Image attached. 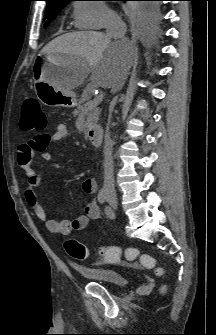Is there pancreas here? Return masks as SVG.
<instances>
[{"label":"pancreas","instance_id":"1","mask_svg":"<svg viewBox=\"0 0 216 335\" xmlns=\"http://www.w3.org/2000/svg\"><path fill=\"white\" fill-rule=\"evenodd\" d=\"M91 91L90 88H87L83 92L78 102L77 109L74 112L75 114L84 115L86 117V121L84 122V132H86L90 126L97 123L100 114V111L96 106L92 108L89 107Z\"/></svg>","mask_w":216,"mask_h":335}]
</instances>
